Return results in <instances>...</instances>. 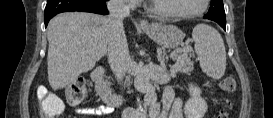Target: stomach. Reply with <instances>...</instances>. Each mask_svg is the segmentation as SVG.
<instances>
[{"mask_svg":"<svg viewBox=\"0 0 273 118\" xmlns=\"http://www.w3.org/2000/svg\"><path fill=\"white\" fill-rule=\"evenodd\" d=\"M143 30L154 42L165 48L178 47L185 37L182 30L174 25L153 24Z\"/></svg>","mask_w":273,"mask_h":118,"instance_id":"0dacf381","label":"stomach"}]
</instances>
